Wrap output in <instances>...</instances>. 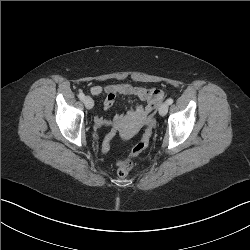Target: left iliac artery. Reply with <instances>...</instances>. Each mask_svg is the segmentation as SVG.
I'll return each mask as SVG.
<instances>
[{"mask_svg": "<svg viewBox=\"0 0 250 250\" xmlns=\"http://www.w3.org/2000/svg\"><path fill=\"white\" fill-rule=\"evenodd\" d=\"M167 103H168V105H171V104L173 103V99H172V98H169V99L167 100Z\"/></svg>", "mask_w": 250, "mask_h": 250, "instance_id": "obj_1", "label": "left iliac artery"}]
</instances>
